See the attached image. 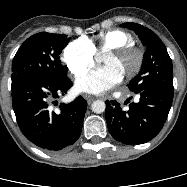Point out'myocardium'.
Listing matches in <instances>:
<instances>
[{"mask_svg": "<svg viewBox=\"0 0 187 187\" xmlns=\"http://www.w3.org/2000/svg\"><path fill=\"white\" fill-rule=\"evenodd\" d=\"M133 53L136 56V61L133 68L127 72L123 77L130 79L135 77L141 70L144 62V53L143 51L135 46L134 44H125L116 48H113L105 53V55H110L113 57H122L126 54Z\"/></svg>", "mask_w": 187, "mask_h": 187, "instance_id": "f54148a6", "label": "myocardium"}]
</instances>
